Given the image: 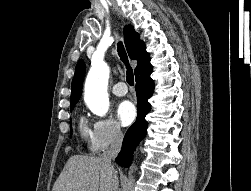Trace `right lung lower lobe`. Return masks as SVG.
Here are the masks:
<instances>
[{
	"mask_svg": "<svg viewBox=\"0 0 251 191\" xmlns=\"http://www.w3.org/2000/svg\"><path fill=\"white\" fill-rule=\"evenodd\" d=\"M153 91L154 82L150 77L136 81L137 120L127 130L123 139L122 149L116 158V162L123 167L130 165L133 151L147 133L148 123L145 120V116L151 109L148 98L152 96Z\"/></svg>",
	"mask_w": 251,
	"mask_h": 191,
	"instance_id": "98d812e1",
	"label": "right lung lower lobe"
}]
</instances>
